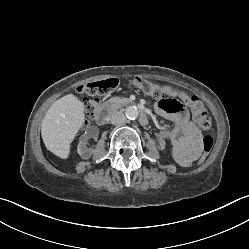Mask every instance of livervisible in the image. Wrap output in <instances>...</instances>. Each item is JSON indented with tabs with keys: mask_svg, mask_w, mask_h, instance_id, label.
<instances>
[{
	"mask_svg": "<svg viewBox=\"0 0 249 249\" xmlns=\"http://www.w3.org/2000/svg\"><path fill=\"white\" fill-rule=\"evenodd\" d=\"M84 105L73 94L55 101L47 110L41 125L46 148L56 156L67 159L71 143L84 123Z\"/></svg>",
	"mask_w": 249,
	"mask_h": 249,
	"instance_id": "1",
	"label": "liver"
}]
</instances>
